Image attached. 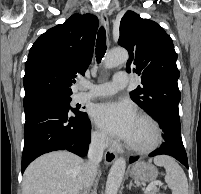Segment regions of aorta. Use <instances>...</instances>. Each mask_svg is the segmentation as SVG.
I'll list each match as a JSON object with an SVG mask.
<instances>
[{
    "instance_id": "762f6f07",
    "label": "aorta",
    "mask_w": 201,
    "mask_h": 194,
    "mask_svg": "<svg viewBox=\"0 0 201 194\" xmlns=\"http://www.w3.org/2000/svg\"><path fill=\"white\" fill-rule=\"evenodd\" d=\"M129 58L127 50L124 48H115L110 50L104 59V67L112 69L118 65L124 64ZM126 169V160L118 158L112 165L105 187V194H117L120 188Z\"/></svg>"
}]
</instances>
